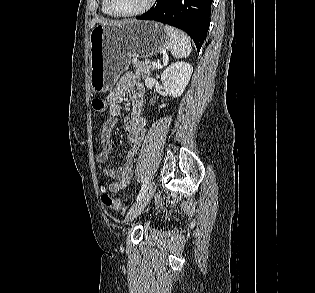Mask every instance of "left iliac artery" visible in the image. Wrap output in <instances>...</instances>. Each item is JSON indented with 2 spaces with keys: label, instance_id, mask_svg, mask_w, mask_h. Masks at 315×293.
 Here are the masks:
<instances>
[{
  "label": "left iliac artery",
  "instance_id": "44dca946",
  "mask_svg": "<svg viewBox=\"0 0 315 293\" xmlns=\"http://www.w3.org/2000/svg\"><path fill=\"white\" fill-rule=\"evenodd\" d=\"M148 189V179L145 178L144 182H143V185L141 187V190L137 196V201L140 200L142 198V196L144 195V193L146 192V190Z\"/></svg>",
  "mask_w": 315,
  "mask_h": 293
}]
</instances>
